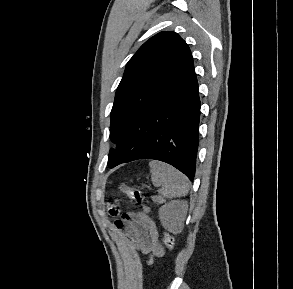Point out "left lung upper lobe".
Segmentation results:
<instances>
[{
    "label": "left lung upper lobe",
    "mask_w": 293,
    "mask_h": 289,
    "mask_svg": "<svg viewBox=\"0 0 293 289\" xmlns=\"http://www.w3.org/2000/svg\"><path fill=\"white\" fill-rule=\"evenodd\" d=\"M192 66L190 48L177 33L160 32L146 41L128 61L116 90L110 139L118 144L139 116ZM124 160V152L111 149L108 167Z\"/></svg>",
    "instance_id": "obj_1"
}]
</instances>
